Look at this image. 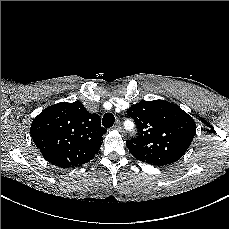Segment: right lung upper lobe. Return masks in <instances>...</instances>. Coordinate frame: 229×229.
Instances as JSON below:
<instances>
[{
	"instance_id": "right-lung-upper-lobe-1",
	"label": "right lung upper lobe",
	"mask_w": 229,
	"mask_h": 229,
	"mask_svg": "<svg viewBox=\"0 0 229 229\" xmlns=\"http://www.w3.org/2000/svg\"><path fill=\"white\" fill-rule=\"evenodd\" d=\"M106 131L99 115L89 113L78 101L47 107L30 128L44 158L61 168L80 166L93 159Z\"/></svg>"
}]
</instances>
